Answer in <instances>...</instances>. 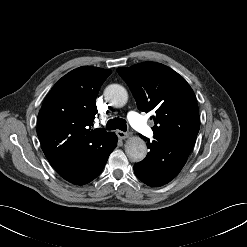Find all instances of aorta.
<instances>
[{"label": "aorta", "mask_w": 247, "mask_h": 247, "mask_svg": "<svg viewBox=\"0 0 247 247\" xmlns=\"http://www.w3.org/2000/svg\"><path fill=\"white\" fill-rule=\"evenodd\" d=\"M107 102L114 107H123L128 100L127 90L119 84H111L104 92ZM125 152L129 159L134 162L143 160L147 155V146L140 137H131L125 143Z\"/></svg>", "instance_id": "1"}]
</instances>
